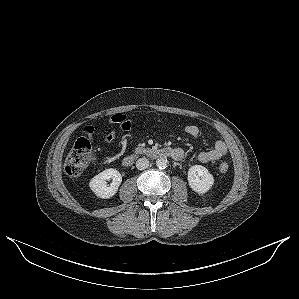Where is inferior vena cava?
<instances>
[{"mask_svg": "<svg viewBox=\"0 0 299 299\" xmlns=\"http://www.w3.org/2000/svg\"><path fill=\"white\" fill-rule=\"evenodd\" d=\"M149 166V160L145 157L140 158L136 161V167L138 170H144Z\"/></svg>", "mask_w": 299, "mask_h": 299, "instance_id": "inferior-vena-cava-1", "label": "inferior vena cava"}]
</instances>
